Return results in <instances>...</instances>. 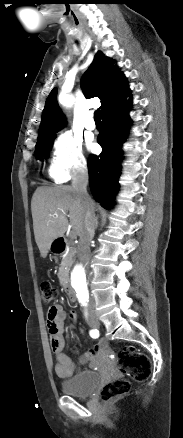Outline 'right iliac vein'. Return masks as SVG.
<instances>
[{"label": "right iliac vein", "instance_id": "1", "mask_svg": "<svg viewBox=\"0 0 183 438\" xmlns=\"http://www.w3.org/2000/svg\"><path fill=\"white\" fill-rule=\"evenodd\" d=\"M98 324H99L98 319H97L95 316L92 317L91 320H90V325H91L92 327H97Z\"/></svg>", "mask_w": 183, "mask_h": 438}]
</instances>
